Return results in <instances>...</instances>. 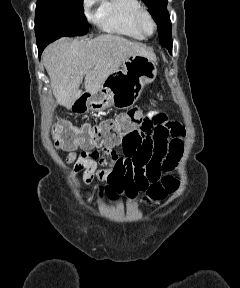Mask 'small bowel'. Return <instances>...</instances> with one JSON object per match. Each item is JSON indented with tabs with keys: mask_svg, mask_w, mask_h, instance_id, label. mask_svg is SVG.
<instances>
[{
	"mask_svg": "<svg viewBox=\"0 0 240 288\" xmlns=\"http://www.w3.org/2000/svg\"><path fill=\"white\" fill-rule=\"evenodd\" d=\"M183 126L169 119L161 111H149L137 133L115 143L81 147L77 154L67 150V165H73L71 179L79 187L78 174L85 183L94 179L107 181L104 192L111 198L122 192L134 198L139 191H146L160 180L162 173L172 171L182 153ZM121 145L124 157H119L115 146ZM98 163L110 164V169H99Z\"/></svg>",
	"mask_w": 240,
	"mask_h": 288,
	"instance_id": "small-bowel-1",
	"label": "small bowel"
}]
</instances>
